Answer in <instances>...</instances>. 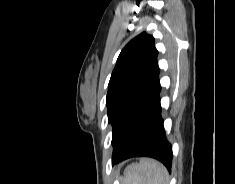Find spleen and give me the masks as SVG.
<instances>
[{"instance_id":"3e777b00","label":"spleen","mask_w":235,"mask_h":184,"mask_svg":"<svg viewBox=\"0 0 235 184\" xmlns=\"http://www.w3.org/2000/svg\"><path fill=\"white\" fill-rule=\"evenodd\" d=\"M122 184H169L167 168L150 158H143L139 164L127 166Z\"/></svg>"}]
</instances>
